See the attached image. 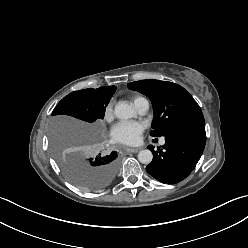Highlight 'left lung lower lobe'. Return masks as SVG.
Here are the masks:
<instances>
[{"mask_svg": "<svg viewBox=\"0 0 248 248\" xmlns=\"http://www.w3.org/2000/svg\"><path fill=\"white\" fill-rule=\"evenodd\" d=\"M206 143L204 117L193 118L165 136L163 150L153 146L152 162L147 172L165 184H175L185 179L195 168Z\"/></svg>", "mask_w": 248, "mask_h": 248, "instance_id": "1", "label": "left lung lower lobe"}]
</instances>
